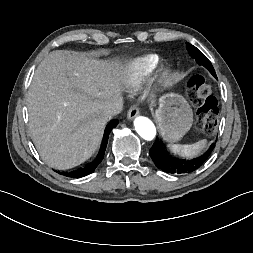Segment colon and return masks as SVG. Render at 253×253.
<instances>
[{"mask_svg":"<svg viewBox=\"0 0 253 253\" xmlns=\"http://www.w3.org/2000/svg\"><path fill=\"white\" fill-rule=\"evenodd\" d=\"M187 87L189 98L198 105L197 119L200 130L205 134L213 133L217 125L219 105L211 84L206 77L196 75L188 81Z\"/></svg>","mask_w":253,"mask_h":253,"instance_id":"colon-1","label":"colon"}]
</instances>
